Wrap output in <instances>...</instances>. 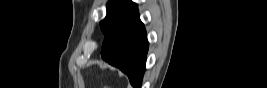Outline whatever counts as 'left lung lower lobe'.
Segmentation results:
<instances>
[{
    "label": "left lung lower lobe",
    "instance_id": "obj_1",
    "mask_svg": "<svg viewBox=\"0 0 267 88\" xmlns=\"http://www.w3.org/2000/svg\"><path fill=\"white\" fill-rule=\"evenodd\" d=\"M147 50L145 28L135 8L106 34L102 58L126 73L131 84L139 88L145 70Z\"/></svg>",
    "mask_w": 267,
    "mask_h": 88
}]
</instances>
